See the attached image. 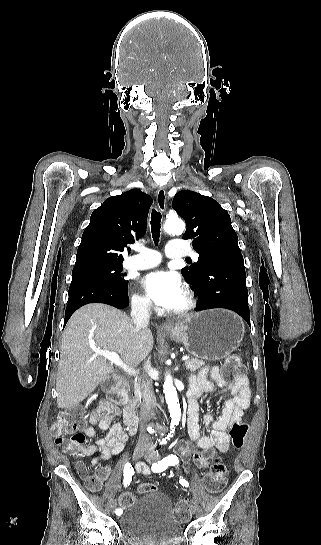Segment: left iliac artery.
Wrapping results in <instances>:
<instances>
[{
	"label": "left iliac artery",
	"mask_w": 321,
	"mask_h": 545,
	"mask_svg": "<svg viewBox=\"0 0 321 545\" xmlns=\"http://www.w3.org/2000/svg\"><path fill=\"white\" fill-rule=\"evenodd\" d=\"M178 464H179V459L177 458V456L176 455H169V456L163 458L158 463L153 464L152 465V470L154 472H161V471H164L170 465L175 466V465H178ZM180 483L185 487L189 486V483L185 479H180Z\"/></svg>",
	"instance_id": "44dca946"
}]
</instances>
